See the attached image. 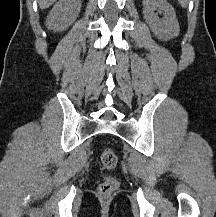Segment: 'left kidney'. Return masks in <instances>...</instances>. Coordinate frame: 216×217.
I'll use <instances>...</instances> for the list:
<instances>
[{
	"mask_svg": "<svg viewBox=\"0 0 216 217\" xmlns=\"http://www.w3.org/2000/svg\"><path fill=\"white\" fill-rule=\"evenodd\" d=\"M157 8L164 15L162 19L155 14ZM143 15L152 32L159 39L170 40L178 36L180 28L176 13L166 0H143Z\"/></svg>",
	"mask_w": 216,
	"mask_h": 217,
	"instance_id": "obj_1",
	"label": "left kidney"
}]
</instances>
